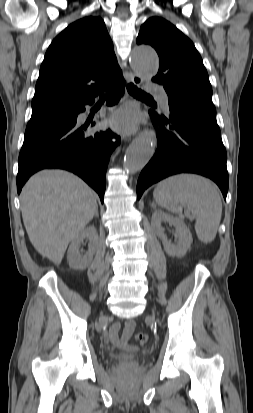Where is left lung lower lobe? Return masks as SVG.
<instances>
[{
    "instance_id": "left-lung-lower-lobe-1",
    "label": "left lung lower lobe",
    "mask_w": 253,
    "mask_h": 413,
    "mask_svg": "<svg viewBox=\"0 0 253 413\" xmlns=\"http://www.w3.org/2000/svg\"><path fill=\"white\" fill-rule=\"evenodd\" d=\"M169 110L168 117L150 111L157 128V150L139 176L137 198L170 175L196 173L215 181L226 199L227 154L216 112L179 101H169Z\"/></svg>"
}]
</instances>
